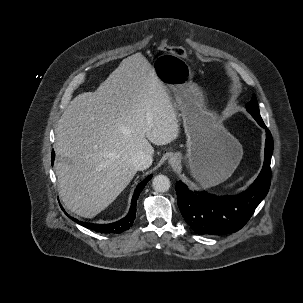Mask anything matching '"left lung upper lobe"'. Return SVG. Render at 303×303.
<instances>
[{"label": "left lung upper lobe", "mask_w": 303, "mask_h": 303, "mask_svg": "<svg viewBox=\"0 0 303 303\" xmlns=\"http://www.w3.org/2000/svg\"><path fill=\"white\" fill-rule=\"evenodd\" d=\"M246 109L254 118L262 120L259 113L258 103L254 95L251 101L246 105Z\"/></svg>", "instance_id": "5c2ea615"}]
</instances>
